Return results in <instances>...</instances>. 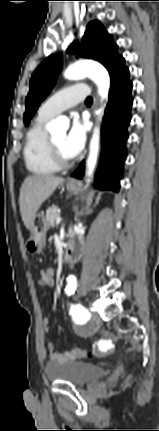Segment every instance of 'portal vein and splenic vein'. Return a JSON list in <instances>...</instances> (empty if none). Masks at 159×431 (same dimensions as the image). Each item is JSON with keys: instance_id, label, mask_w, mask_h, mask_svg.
Returning a JSON list of instances; mask_svg holds the SVG:
<instances>
[{"instance_id": "obj_1", "label": "portal vein and splenic vein", "mask_w": 159, "mask_h": 431, "mask_svg": "<svg viewBox=\"0 0 159 431\" xmlns=\"http://www.w3.org/2000/svg\"><path fill=\"white\" fill-rule=\"evenodd\" d=\"M61 222V217H58L57 219H56V223L57 224H59Z\"/></svg>"}]
</instances>
